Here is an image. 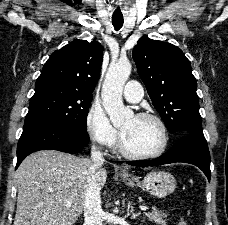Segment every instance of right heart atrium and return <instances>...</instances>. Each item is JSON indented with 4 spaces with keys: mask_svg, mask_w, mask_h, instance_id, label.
Masks as SVG:
<instances>
[{
    "mask_svg": "<svg viewBox=\"0 0 228 225\" xmlns=\"http://www.w3.org/2000/svg\"><path fill=\"white\" fill-rule=\"evenodd\" d=\"M85 128L90 139L102 147H112L119 139V132L112 126L103 108L95 103L86 113Z\"/></svg>",
    "mask_w": 228,
    "mask_h": 225,
    "instance_id": "d8ad5b80",
    "label": "right heart atrium"
}]
</instances>
